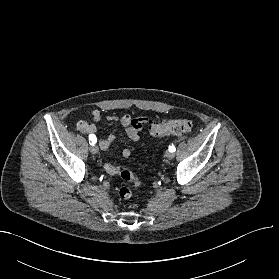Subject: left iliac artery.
<instances>
[{"instance_id": "obj_1", "label": "left iliac artery", "mask_w": 279, "mask_h": 279, "mask_svg": "<svg viewBox=\"0 0 279 279\" xmlns=\"http://www.w3.org/2000/svg\"><path fill=\"white\" fill-rule=\"evenodd\" d=\"M175 150H176V149H175V146L172 145V146L169 147V151H170V152H174Z\"/></svg>"}]
</instances>
